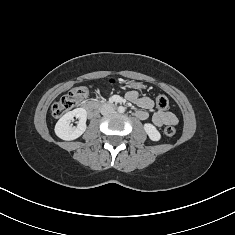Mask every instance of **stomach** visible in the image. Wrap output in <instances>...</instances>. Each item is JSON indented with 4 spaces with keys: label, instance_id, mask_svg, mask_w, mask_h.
<instances>
[{
    "label": "stomach",
    "instance_id": "obj_1",
    "mask_svg": "<svg viewBox=\"0 0 235 235\" xmlns=\"http://www.w3.org/2000/svg\"><path fill=\"white\" fill-rule=\"evenodd\" d=\"M127 85L130 86V87H133V88H138V89H141L143 88L144 86L142 85V83H136L134 81H129L127 82Z\"/></svg>",
    "mask_w": 235,
    "mask_h": 235
}]
</instances>
